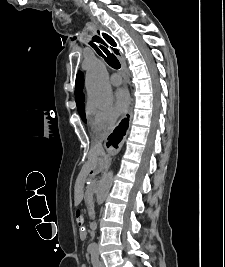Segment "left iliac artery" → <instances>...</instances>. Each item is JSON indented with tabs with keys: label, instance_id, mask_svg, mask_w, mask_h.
I'll use <instances>...</instances> for the list:
<instances>
[{
	"label": "left iliac artery",
	"instance_id": "44dca946",
	"mask_svg": "<svg viewBox=\"0 0 225 267\" xmlns=\"http://www.w3.org/2000/svg\"><path fill=\"white\" fill-rule=\"evenodd\" d=\"M91 261H92L93 267H100L98 252L96 251L91 252Z\"/></svg>",
	"mask_w": 225,
	"mask_h": 267
}]
</instances>
